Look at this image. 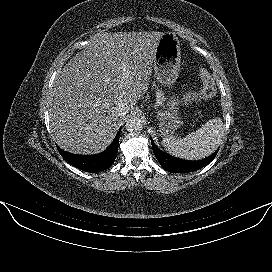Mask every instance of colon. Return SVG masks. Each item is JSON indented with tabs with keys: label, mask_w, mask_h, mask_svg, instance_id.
I'll return each mask as SVG.
<instances>
[{
	"label": "colon",
	"mask_w": 272,
	"mask_h": 272,
	"mask_svg": "<svg viewBox=\"0 0 272 272\" xmlns=\"http://www.w3.org/2000/svg\"><path fill=\"white\" fill-rule=\"evenodd\" d=\"M200 76L203 83L202 89L198 92L184 94L178 101L179 106H187L195 102L206 100L215 94L216 87L208 71L202 69Z\"/></svg>",
	"instance_id": "1"
}]
</instances>
